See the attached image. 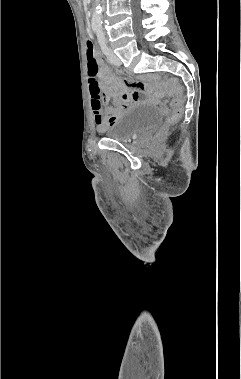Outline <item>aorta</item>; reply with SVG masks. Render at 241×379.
Here are the masks:
<instances>
[{
    "label": "aorta",
    "instance_id": "762f6f07",
    "mask_svg": "<svg viewBox=\"0 0 241 379\" xmlns=\"http://www.w3.org/2000/svg\"><path fill=\"white\" fill-rule=\"evenodd\" d=\"M92 28L95 29L98 32H101L102 30V21H101V6H100V0H95V6L94 11L92 15Z\"/></svg>",
    "mask_w": 241,
    "mask_h": 379
}]
</instances>
